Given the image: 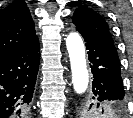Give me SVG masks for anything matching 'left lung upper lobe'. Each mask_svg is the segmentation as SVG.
<instances>
[{
    "mask_svg": "<svg viewBox=\"0 0 133 118\" xmlns=\"http://www.w3.org/2000/svg\"><path fill=\"white\" fill-rule=\"evenodd\" d=\"M73 23L77 29L88 33L90 36L104 42H109L114 45V40L110 33V29L106 21L93 9L80 6L73 15ZM124 102L104 101L99 103L93 97V94H88L78 102V109L81 116H93L96 113H111L120 111L123 108Z\"/></svg>",
    "mask_w": 133,
    "mask_h": 118,
    "instance_id": "1",
    "label": "left lung upper lobe"
}]
</instances>
